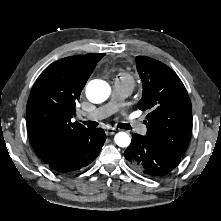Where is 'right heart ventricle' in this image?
I'll list each match as a JSON object with an SVG mask.
<instances>
[{"label":"right heart ventricle","instance_id":"e07e8e85","mask_svg":"<svg viewBox=\"0 0 221 221\" xmlns=\"http://www.w3.org/2000/svg\"><path fill=\"white\" fill-rule=\"evenodd\" d=\"M114 81L127 82V83H130V84L134 83L132 76L129 73H126V72L119 73Z\"/></svg>","mask_w":221,"mask_h":221}]
</instances>
